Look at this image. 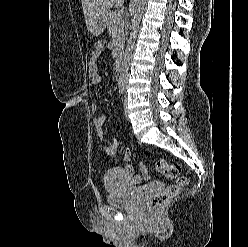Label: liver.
Here are the masks:
<instances>
[{
    "instance_id": "liver-1",
    "label": "liver",
    "mask_w": 248,
    "mask_h": 247,
    "mask_svg": "<svg viewBox=\"0 0 248 247\" xmlns=\"http://www.w3.org/2000/svg\"><path fill=\"white\" fill-rule=\"evenodd\" d=\"M83 13L88 30L92 25L114 5L122 7L124 0H81Z\"/></svg>"
}]
</instances>
